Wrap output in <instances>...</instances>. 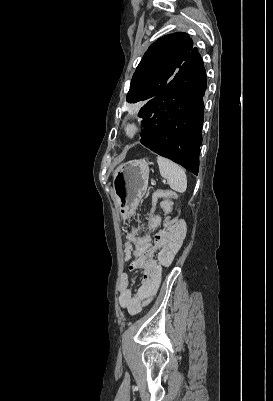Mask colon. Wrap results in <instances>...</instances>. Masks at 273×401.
<instances>
[{
  "label": "colon",
  "mask_w": 273,
  "mask_h": 401,
  "mask_svg": "<svg viewBox=\"0 0 273 401\" xmlns=\"http://www.w3.org/2000/svg\"><path fill=\"white\" fill-rule=\"evenodd\" d=\"M166 227L168 231L175 230L177 228L182 229V232H159L158 240L159 241H184L185 240V224L184 222L176 219L169 220L166 223ZM143 280L145 282H150L152 280V275L150 273H145L143 275Z\"/></svg>",
  "instance_id": "1"
}]
</instances>
